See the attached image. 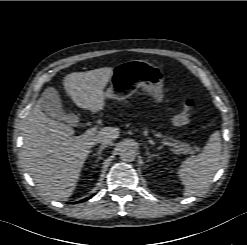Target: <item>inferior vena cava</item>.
Wrapping results in <instances>:
<instances>
[{
	"label": "inferior vena cava",
	"mask_w": 247,
	"mask_h": 245,
	"mask_svg": "<svg viewBox=\"0 0 247 245\" xmlns=\"http://www.w3.org/2000/svg\"><path fill=\"white\" fill-rule=\"evenodd\" d=\"M100 143L102 144V146H107V145H112L113 144L112 140H110V139H102L100 141Z\"/></svg>",
	"instance_id": "inferior-vena-cava-1"
}]
</instances>
